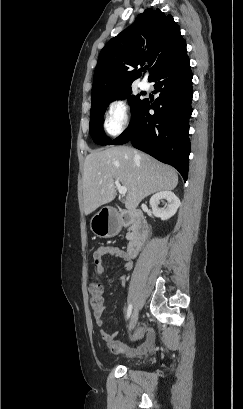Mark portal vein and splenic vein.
<instances>
[{
  "label": "portal vein and splenic vein",
  "mask_w": 243,
  "mask_h": 409,
  "mask_svg": "<svg viewBox=\"0 0 243 409\" xmlns=\"http://www.w3.org/2000/svg\"><path fill=\"white\" fill-rule=\"evenodd\" d=\"M115 187L117 188L119 194L124 196L127 193V188L125 186H121L119 181L115 180Z\"/></svg>",
  "instance_id": "18ae733b"
}]
</instances>
